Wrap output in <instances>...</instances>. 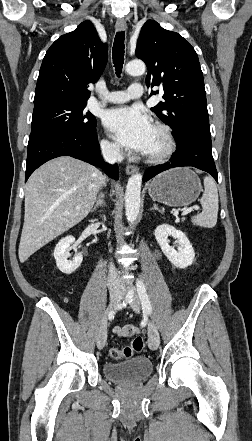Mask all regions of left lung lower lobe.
<instances>
[{"mask_svg":"<svg viewBox=\"0 0 252 441\" xmlns=\"http://www.w3.org/2000/svg\"><path fill=\"white\" fill-rule=\"evenodd\" d=\"M176 142L177 149L171 159L165 164L148 168L145 171L143 181L171 168L193 166L208 172L218 182V174L211 151L210 128L201 126L188 128Z\"/></svg>","mask_w":252,"mask_h":441,"instance_id":"1","label":"left lung lower lobe"}]
</instances>
